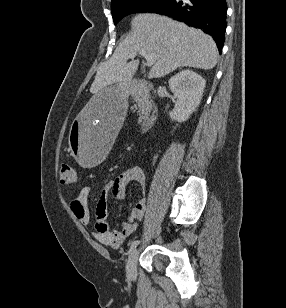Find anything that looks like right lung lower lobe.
<instances>
[{
	"instance_id": "1",
	"label": "right lung lower lobe",
	"mask_w": 286,
	"mask_h": 308,
	"mask_svg": "<svg viewBox=\"0 0 286 308\" xmlns=\"http://www.w3.org/2000/svg\"><path fill=\"white\" fill-rule=\"evenodd\" d=\"M153 13L170 16L210 34L221 53L226 29L225 0H168Z\"/></svg>"
}]
</instances>
